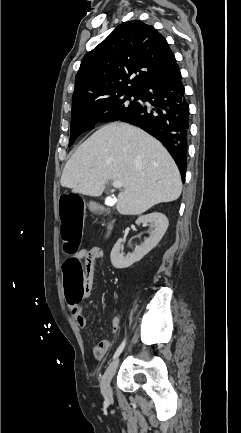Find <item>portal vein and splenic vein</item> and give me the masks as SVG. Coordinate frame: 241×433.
I'll use <instances>...</instances> for the list:
<instances>
[{"instance_id": "1", "label": "portal vein and splenic vein", "mask_w": 241, "mask_h": 433, "mask_svg": "<svg viewBox=\"0 0 241 433\" xmlns=\"http://www.w3.org/2000/svg\"><path fill=\"white\" fill-rule=\"evenodd\" d=\"M112 186L114 188H122L124 186L123 182L121 180H114L112 182Z\"/></svg>"}]
</instances>
